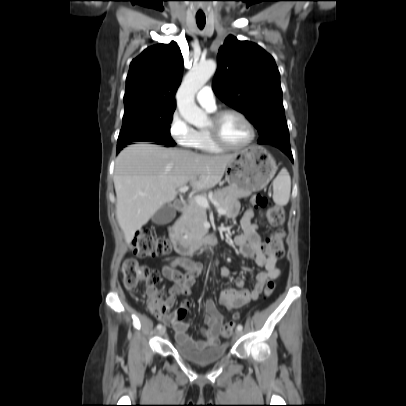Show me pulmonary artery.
Returning <instances> with one entry per match:
<instances>
[{
	"instance_id": "obj_1",
	"label": "pulmonary artery",
	"mask_w": 406,
	"mask_h": 406,
	"mask_svg": "<svg viewBox=\"0 0 406 406\" xmlns=\"http://www.w3.org/2000/svg\"><path fill=\"white\" fill-rule=\"evenodd\" d=\"M197 101L200 105L209 111H213L216 108L215 96L212 88L208 85L202 87L197 93Z\"/></svg>"
}]
</instances>
